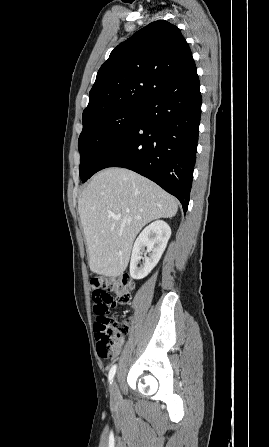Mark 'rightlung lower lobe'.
Returning a JSON list of instances; mask_svg holds the SVG:
<instances>
[{
    "label": "right lung lower lobe",
    "mask_w": 269,
    "mask_h": 447,
    "mask_svg": "<svg viewBox=\"0 0 269 447\" xmlns=\"http://www.w3.org/2000/svg\"><path fill=\"white\" fill-rule=\"evenodd\" d=\"M201 93L195 63L177 80L146 99L139 122L94 164L133 170L176 196L186 212L196 160ZM85 182V179L82 180Z\"/></svg>",
    "instance_id": "obj_1"
}]
</instances>
